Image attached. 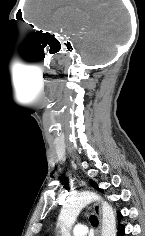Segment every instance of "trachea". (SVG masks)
I'll return each instance as SVG.
<instances>
[{"label":"trachea","instance_id":"obj_1","mask_svg":"<svg viewBox=\"0 0 145 236\" xmlns=\"http://www.w3.org/2000/svg\"><path fill=\"white\" fill-rule=\"evenodd\" d=\"M90 223L93 225V226H97L98 225V219H97V217L95 216V215H91L90 216Z\"/></svg>","mask_w":145,"mask_h":236}]
</instances>
